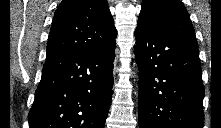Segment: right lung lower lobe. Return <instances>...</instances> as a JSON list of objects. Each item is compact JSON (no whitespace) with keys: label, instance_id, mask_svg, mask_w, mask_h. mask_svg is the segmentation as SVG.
<instances>
[{"label":"right lung lower lobe","instance_id":"right-lung-lower-lobe-1","mask_svg":"<svg viewBox=\"0 0 221 128\" xmlns=\"http://www.w3.org/2000/svg\"><path fill=\"white\" fill-rule=\"evenodd\" d=\"M115 40L46 59L29 128H103L111 105Z\"/></svg>","mask_w":221,"mask_h":128}]
</instances>
